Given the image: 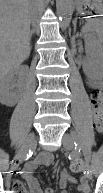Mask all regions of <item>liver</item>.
Wrapping results in <instances>:
<instances>
[{"mask_svg": "<svg viewBox=\"0 0 103 193\" xmlns=\"http://www.w3.org/2000/svg\"><path fill=\"white\" fill-rule=\"evenodd\" d=\"M36 0H1L0 71L7 74L30 55V22Z\"/></svg>", "mask_w": 103, "mask_h": 193, "instance_id": "6515ba94", "label": "liver"}]
</instances>
